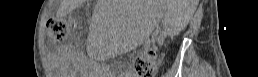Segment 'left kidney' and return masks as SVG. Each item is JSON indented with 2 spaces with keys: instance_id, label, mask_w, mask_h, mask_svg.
<instances>
[{
  "instance_id": "1",
  "label": "left kidney",
  "mask_w": 258,
  "mask_h": 77,
  "mask_svg": "<svg viewBox=\"0 0 258 77\" xmlns=\"http://www.w3.org/2000/svg\"><path fill=\"white\" fill-rule=\"evenodd\" d=\"M197 2L198 0H191L188 1L189 6L185 8H173L168 14V22L171 21L172 24L177 23L181 27L186 26L195 12Z\"/></svg>"
}]
</instances>
